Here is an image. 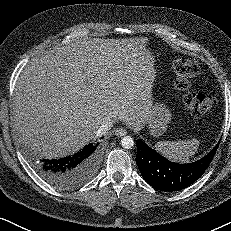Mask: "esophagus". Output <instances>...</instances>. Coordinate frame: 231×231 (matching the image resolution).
I'll use <instances>...</instances> for the list:
<instances>
[{"label":"esophagus","instance_id":"obj_1","mask_svg":"<svg viewBox=\"0 0 231 231\" xmlns=\"http://www.w3.org/2000/svg\"><path fill=\"white\" fill-rule=\"evenodd\" d=\"M127 131L125 128L123 127H119V128H116L114 130V134L117 136V137H122L124 135H126Z\"/></svg>","mask_w":231,"mask_h":231}]
</instances>
